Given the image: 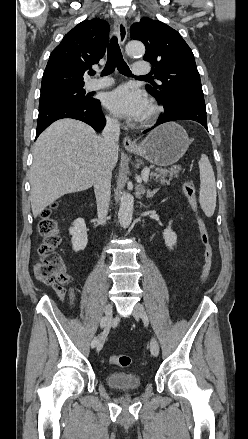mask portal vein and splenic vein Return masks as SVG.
Returning <instances> with one entry per match:
<instances>
[{
	"label": "portal vein and splenic vein",
	"instance_id": "1",
	"mask_svg": "<svg viewBox=\"0 0 248 439\" xmlns=\"http://www.w3.org/2000/svg\"><path fill=\"white\" fill-rule=\"evenodd\" d=\"M75 169H79V166L76 164H71ZM149 173H150V169L149 168H145L142 171V179L147 182L148 181V177H149Z\"/></svg>",
	"mask_w": 248,
	"mask_h": 439
}]
</instances>
